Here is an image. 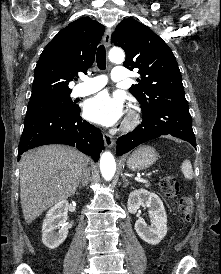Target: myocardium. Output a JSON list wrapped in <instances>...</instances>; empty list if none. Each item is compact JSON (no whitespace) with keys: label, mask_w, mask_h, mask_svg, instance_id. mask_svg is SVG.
<instances>
[{"label":"myocardium","mask_w":221,"mask_h":274,"mask_svg":"<svg viewBox=\"0 0 221 274\" xmlns=\"http://www.w3.org/2000/svg\"><path fill=\"white\" fill-rule=\"evenodd\" d=\"M140 121V115L136 110H130L129 114L127 116L126 122H125V127L127 129H132L134 128L136 125H138Z\"/></svg>","instance_id":"obj_1"}]
</instances>
